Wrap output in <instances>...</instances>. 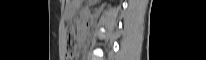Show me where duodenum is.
I'll use <instances>...</instances> for the list:
<instances>
[{
	"label": "duodenum",
	"instance_id": "duodenum-1",
	"mask_svg": "<svg viewBox=\"0 0 206 60\" xmlns=\"http://www.w3.org/2000/svg\"><path fill=\"white\" fill-rule=\"evenodd\" d=\"M88 29L87 25H84L80 28V36L83 38L86 34V30Z\"/></svg>",
	"mask_w": 206,
	"mask_h": 60
}]
</instances>
